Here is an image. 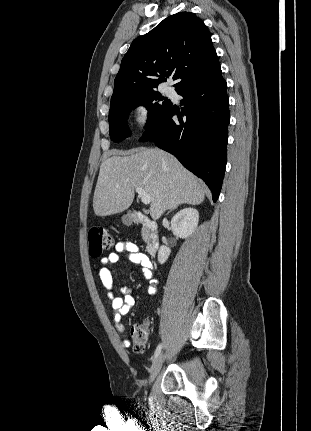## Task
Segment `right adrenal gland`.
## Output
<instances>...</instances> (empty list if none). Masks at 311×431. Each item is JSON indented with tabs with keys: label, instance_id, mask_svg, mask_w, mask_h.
<instances>
[{
	"label": "right adrenal gland",
	"instance_id": "2a0ac1e0",
	"mask_svg": "<svg viewBox=\"0 0 311 431\" xmlns=\"http://www.w3.org/2000/svg\"><path fill=\"white\" fill-rule=\"evenodd\" d=\"M179 206H182V204H179ZM176 208H178V206H175V208H172V210H170V212H173V210H176ZM170 212H168V214H170ZM168 214H166V216H168Z\"/></svg>",
	"mask_w": 311,
	"mask_h": 431
}]
</instances>
